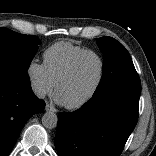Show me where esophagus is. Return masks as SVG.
Returning a JSON list of instances; mask_svg holds the SVG:
<instances>
[{"instance_id":"1","label":"esophagus","mask_w":156,"mask_h":156,"mask_svg":"<svg viewBox=\"0 0 156 156\" xmlns=\"http://www.w3.org/2000/svg\"><path fill=\"white\" fill-rule=\"evenodd\" d=\"M45 110H46V111L57 112V110H56L53 106H51V105H49V104H46Z\"/></svg>"}]
</instances>
